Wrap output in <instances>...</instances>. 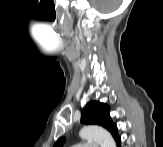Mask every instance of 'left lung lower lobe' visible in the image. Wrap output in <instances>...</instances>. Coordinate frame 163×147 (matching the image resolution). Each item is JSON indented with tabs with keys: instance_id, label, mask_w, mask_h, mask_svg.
I'll use <instances>...</instances> for the list:
<instances>
[{
	"instance_id": "obj_1",
	"label": "left lung lower lobe",
	"mask_w": 163,
	"mask_h": 147,
	"mask_svg": "<svg viewBox=\"0 0 163 147\" xmlns=\"http://www.w3.org/2000/svg\"><path fill=\"white\" fill-rule=\"evenodd\" d=\"M114 138H115V140H116V142H117V146L120 147V143H121V138H120V136L117 134Z\"/></svg>"
}]
</instances>
